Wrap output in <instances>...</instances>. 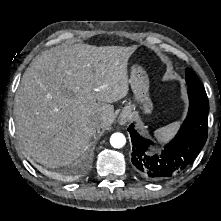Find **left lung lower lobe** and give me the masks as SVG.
<instances>
[{"mask_svg":"<svg viewBox=\"0 0 221 221\" xmlns=\"http://www.w3.org/2000/svg\"><path fill=\"white\" fill-rule=\"evenodd\" d=\"M189 111L176 137L162 150L161 155H146L154 143L139 135L130 125L133 145L132 163L136 171L150 181L174 177L188 165L203 148L208 134L209 101L206 92L188 88Z\"/></svg>","mask_w":221,"mask_h":221,"instance_id":"left-lung-lower-lobe-1","label":"left lung lower lobe"}]
</instances>
